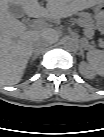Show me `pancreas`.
<instances>
[{
    "instance_id": "obj_1",
    "label": "pancreas",
    "mask_w": 104,
    "mask_h": 137,
    "mask_svg": "<svg viewBox=\"0 0 104 137\" xmlns=\"http://www.w3.org/2000/svg\"><path fill=\"white\" fill-rule=\"evenodd\" d=\"M83 16L85 17V19L83 18ZM84 20L86 21L85 26H86L87 28H90L88 22L91 21V17H90L89 15H87V14H85V13L79 14V18H78L76 21H77L78 23L83 24V23H84Z\"/></svg>"
}]
</instances>
